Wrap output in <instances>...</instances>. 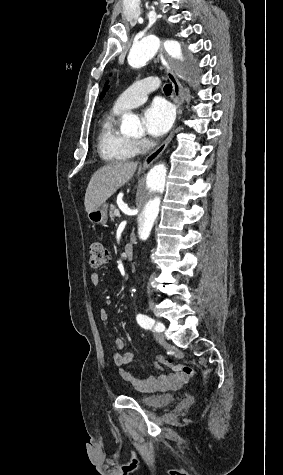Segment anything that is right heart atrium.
<instances>
[{"label": "right heart atrium", "instance_id": "obj_1", "mask_svg": "<svg viewBox=\"0 0 283 475\" xmlns=\"http://www.w3.org/2000/svg\"><path fill=\"white\" fill-rule=\"evenodd\" d=\"M132 146L137 152L143 151L146 148L145 140L132 141Z\"/></svg>", "mask_w": 283, "mask_h": 475}]
</instances>
